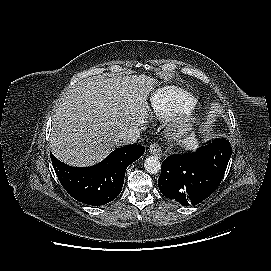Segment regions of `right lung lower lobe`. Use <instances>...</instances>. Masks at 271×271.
Instances as JSON below:
<instances>
[{"mask_svg":"<svg viewBox=\"0 0 271 271\" xmlns=\"http://www.w3.org/2000/svg\"><path fill=\"white\" fill-rule=\"evenodd\" d=\"M140 145L118 148L100 163L90 167H71L50 153L55 173L64 189L76 200L100 206L121 192L126 168L144 153Z\"/></svg>","mask_w":271,"mask_h":271,"instance_id":"obj_1","label":"right lung lower lobe"}]
</instances>
